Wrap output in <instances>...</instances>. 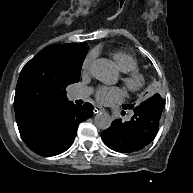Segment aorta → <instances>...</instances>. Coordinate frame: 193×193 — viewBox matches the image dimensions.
I'll return each mask as SVG.
<instances>
[{
  "mask_svg": "<svg viewBox=\"0 0 193 193\" xmlns=\"http://www.w3.org/2000/svg\"><path fill=\"white\" fill-rule=\"evenodd\" d=\"M91 74L98 80H101L107 84H112L116 81V75L113 71V67L109 63H98L90 69ZM95 124L99 129H107L111 125V117L109 114L97 115L95 118Z\"/></svg>",
  "mask_w": 193,
  "mask_h": 193,
  "instance_id": "obj_1",
  "label": "aorta"
}]
</instances>
